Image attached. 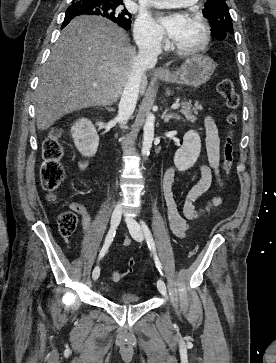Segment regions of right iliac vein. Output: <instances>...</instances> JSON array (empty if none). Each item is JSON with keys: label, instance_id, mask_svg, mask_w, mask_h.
Here are the masks:
<instances>
[{"label": "right iliac vein", "instance_id": "obj_1", "mask_svg": "<svg viewBox=\"0 0 276 363\" xmlns=\"http://www.w3.org/2000/svg\"><path fill=\"white\" fill-rule=\"evenodd\" d=\"M121 214H122L121 207H119V206L116 207L111 216V228L112 229H116L117 226L119 225L120 219H121ZM99 271H100V268L98 266H96L92 272V278L94 281H96L98 279Z\"/></svg>", "mask_w": 276, "mask_h": 363}]
</instances>
